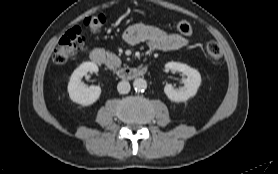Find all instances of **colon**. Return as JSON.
Returning a JSON list of instances; mask_svg holds the SVG:
<instances>
[{"mask_svg": "<svg viewBox=\"0 0 278 174\" xmlns=\"http://www.w3.org/2000/svg\"><path fill=\"white\" fill-rule=\"evenodd\" d=\"M105 23V16L97 14L84 19V26L92 32L98 31ZM178 31L183 35H191L192 27L187 21H181L177 25ZM85 45V38L80 27L68 30L59 40L54 53L53 62L56 65H63L73 58ZM208 58L215 64L222 60V50L216 42H209L206 46Z\"/></svg>", "mask_w": 278, "mask_h": 174, "instance_id": "5ec220e1", "label": "colon"}]
</instances>
